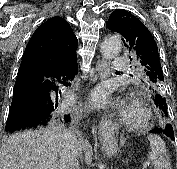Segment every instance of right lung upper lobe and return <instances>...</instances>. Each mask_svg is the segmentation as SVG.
<instances>
[{
	"label": "right lung upper lobe",
	"instance_id": "1",
	"mask_svg": "<svg viewBox=\"0 0 177 169\" xmlns=\"http://www.w3.org/2000/svg\"><path fill=\"white\" fill-rule=\"evenodd\" d=\"M77 38L67 21L53 17L33 33L22 63L69 67L77 64Z\"/></svg>",
	"mask_w": 177,
	"mask_h": 169
}]
</instances>
